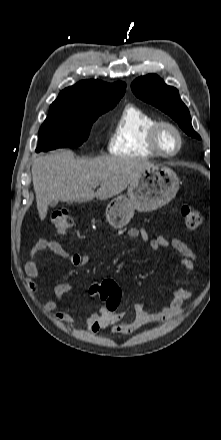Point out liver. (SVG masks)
<instances>
[{
  "label": "liver",
  "mask_w": 221,
  "mask_h": 440,
  "mask_svg": "<svg viewBox=\"0 0 221 440\" xmlns=\"http://www.w3.org/2000/svg\"><path fill=\"white\" fill-rule=\"evenodd\" d=\"M153 166L123 157L78 160L69 150L38 157L32 164V179L39 217L45 219L52 200L73 203L118 195ZM97 185L100 188L94 192L92 187Z\"/></svg>",
  "instance_id": "6515ba94"
}]
</instances>
